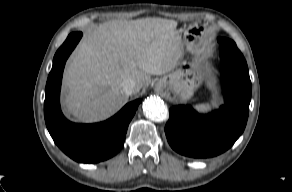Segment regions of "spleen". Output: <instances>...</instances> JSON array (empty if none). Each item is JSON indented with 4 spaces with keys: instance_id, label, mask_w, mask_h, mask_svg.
<instances>
[{
    "instance_id": "obj_1",
    "label": "spleen",
    "mask_w": 292,
    "mask_h": 192,
    "mask_svg": "<svg viewBox=\"0 0 292 192\" xmlns=\"http://www.w3.org/2000/svg\"><path fill=\"white\" fill-rule=\"evenodd\" d=\"M211 106L210 105H200L198 108L200 110H206V109H209Z\"/></svg>"
}]
</instances>
